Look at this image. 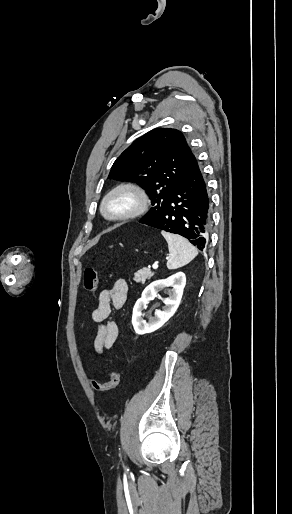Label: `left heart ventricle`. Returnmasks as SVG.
Instances as JSON below:
<instances>
[{"mask_svg": "<svg viewBox=\"0 0 292 514\" xmlns=\"http://www.w3.org/2000/svg\"><path fill=\"white\" fill-rule=\"evenodd\" d=\"M125 204V201L124 200H118L116 201L113 206H112V209L113 210H119L123 205Z\"/></svg>", "mask_w": 292, "mask_h": 514, "instance_id": "1", "label": "left heart ventricle"}]
</instances>
